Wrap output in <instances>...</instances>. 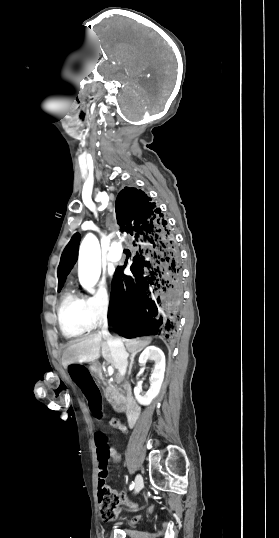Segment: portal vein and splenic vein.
<instances>
[{"label":"portal vein and splenic vein","instance_id":"1","mask_svg":"<svg viewBox=\"0 0 279 538\" xmlns=\"http://www.w3.org/2000/svg\"><path fill=\"white\" fill-rule=\"evenodd\" d=\"M107 370H108V376H112V374H114L113 366H108Z\"/></svg>","mask_w":279,"mask_h":538}]
</instances>
